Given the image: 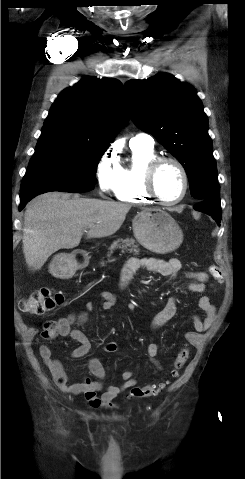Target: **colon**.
<instances>
[{"label": "colon", "mask_w": 245, "mask_h": 479, "mask_svg": "<svg viewBox=\"0 0 245 479\" xmlns=\"http://www.w3.org/2000/svg\"><path fill=\"white\" fill-rule=\"evenodd\" d=\"M210 273L215 278L220 277V269L216 266L210 267ZM65 297V293L60 290L44 287L35 290L31 295L22 299L20 308L28 315H42L61 306L65 301ZM57 335H59L57 321H46L43 325L42 337L45 339H52ZM188 357L189 350L187 347H183L178 351L174 359L173 368L170 372L172 378L178 377L179 372L186 364ZM165 385V382H161L143 387H136L132 389L130 396L138 399L153 397L156 396Z\"/></svg>", "instance_id": "obj_1"}]
</instances>
